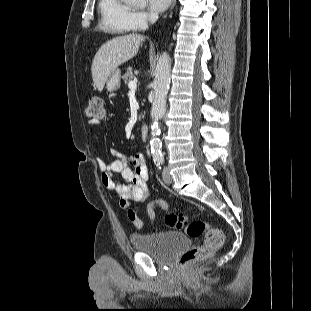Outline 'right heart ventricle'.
Returning <instances> with one entry per match:
<instances>
[{
    "instance_id": "right-heart-ventricle-1",
    "label": "right heart ventricle",
    "mask_w": 311,
    "mask_h": 311,
    "mask_svg": "<svg viewBox=\"0 0 311 311\" xmlns=\"http://www.w3.org/2000/svg\"><path fill=\"white\" fill-rule=\"evenodd\" d=\"M100 27L116 34H127L134 29L131 8L124 0H99Z\"/></svg>"
}]
</instances>
